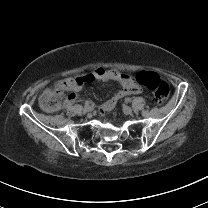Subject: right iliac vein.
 <instances>
[{
  "mask_svg": "<svg viewBox=\"0 0 208 208\" xmlns=\"http://www.w3.org/2000/svg\"><path fill=\"white\" fill-rule=\"evenodd\" d=\"M91 110H92V108L90 106H85L84 107V112L85 113H89V112H91Z\"/></svg>",
  "mask_w": 208,
  "mask_h": 208,
  "instance_id": "obj_1",
  "label": "right iliac vein"
}]
</instances>
